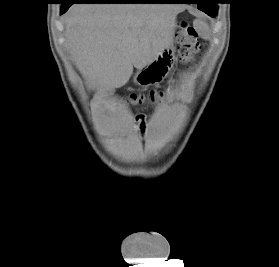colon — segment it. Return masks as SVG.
<instances>
[{"instance_id":"1","label":"colon","mask_w":279,"mask_h":267,"mask_svg":"<svg viewBox=\"0 0 279 267\" xmlns=\"http://www.w3.org/2000/svg\"><path fill=\"white\" fill-rule=\"evenodd\" d=\"M177 41L181 60L185 64L194 63L200 52L199 38L195 28L191 24L183 22L177 35ZM160 96L161 92L152 90L147 94L133 93L128 97V101L134 105L155 104L159 101Z\"/></svg>"}]
</instances>
